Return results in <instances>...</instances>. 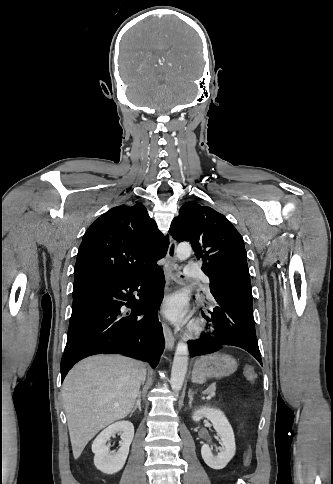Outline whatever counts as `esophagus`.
Segmentation results:
<instances>
[{
  "label": "esophagus",
  "mask_w": 333,
  "mask_h": 484,
  "mask_svg": "<svg viewBox=\"0 0 333 484\" xmlns=\"http://www.w3.org/2000/svg\"><path fill=\"white\" fill-rule=\"evenodd\" d=\"M176 260H177L176 259V242L173 239H171L170 243H169L167 255H166V264H165V267H164V273H165L167 285H169L170 280L175 277L174 270L176 268ZM166 289H167V292H168L169 288L167 287ZM167 296H168V294L166 293L165 298ZM162 327H163V334H164V338H165L166 347L169 350H172L174 348V345H175V338H174L173 332H172L170 326L164 320L162 321Z\"/></svg>",
  "instance_id": "esophagus-1"
}]
</instances>
